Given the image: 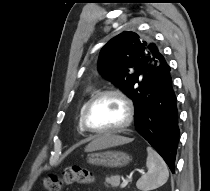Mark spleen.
I'll use <instances>...</instances> for the list:
<instances>
[{"instance_id": "obj_1", "label": "spleen", "mask_w": 210, "mask_h": 191, "mask_svg": "<svg viewBox=\"0 0 210 191\" xmlns=\"http://www.w3.org/2000/svg\"><path fill=\"white\" fill-rule=\"evenodd\" d=\"M147 153L148 172L136 183L137 188L142 191L155 190L165 184L169 177L167 165L162 157L151 147H147Z\"/></svg>"}]
</instances>
